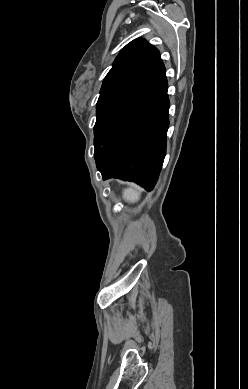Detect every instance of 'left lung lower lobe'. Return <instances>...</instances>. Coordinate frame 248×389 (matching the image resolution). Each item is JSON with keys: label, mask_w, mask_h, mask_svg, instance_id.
<instances>
[{"label": "left lung lower lobe", "mask_w": 248, "mask_h": 389, "mask_svg": "<svg viewBox=\"0 0 248 389\" xmlns=\"http://www.w3.org/2000/svg\"><path fill=\"white\" fill-rule=\"evenodd\" d=\"M167 88L159 58L98 114L94 134L104 142L94 157L104 180L120 178L147 191L154 188L166 153Z\"/></svg>", "instance_id": "left-lung-lower-lobe-1"}]
</instances>
